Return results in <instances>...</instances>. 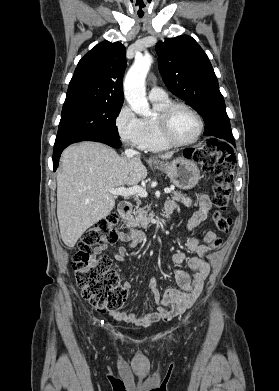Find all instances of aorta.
I'll return each mask as SVG.
<instances>
[{"mask_svg":"<svg viewBox=\"0 0 279 391\" xmlns=\"http://www.w3.org/2000/svg\"><path fill=\"white\" fill-rule=\"evenodd\" d=\"M153 59L150 55L137 57L124 80V96L131 109L141 115L150 116L151 109L146 99L145 79Z\"/></svg>","mask_w":279,"mask_h":391,"instance_id":"obj_1","label":"aorta"}]
</instances>
